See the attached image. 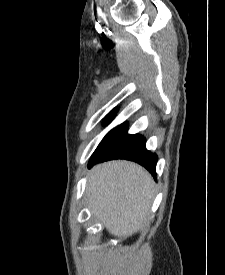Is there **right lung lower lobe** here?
Here are the masks:
<instances>
[{
    "mask_svg": "<svg viewBox=\"0 0 225 275\" xmlns=\"http://www.w3.org/2000/svg\"><path fill=\"white\" fill-rule=\"evenodd\" d=\"M112 159H127L144 166L153 176H156V154L145 147V139L139 134L129 135L127 124L123 123L112 130L99 144L93 153L89 167L98 162Z\"/></svg>",
    "mask_w": 225,
    "mask_h": 275,
    "instance_id": "obj_1",
    "label": "right lung lower lobe"
}]
</instances>
